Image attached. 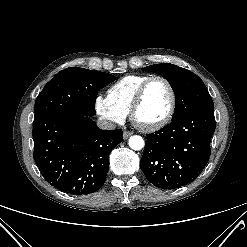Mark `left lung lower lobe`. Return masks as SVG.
<instances>
[{"label": "left lung lower lobe", "instance_id": "0a47b994", "mask_svg": "<svg viewBox=\"0 0 247 247\" xmlns=\"http://www.w3.org/2000/svg\"><path fill=\"white\" fill-rule=\"evenodd\" d=\"M214 111L188 112L147 134L141 169L153 185L176 189L194 181L210 156Z\"/></svg>", "mask_w": 247, "mask_h": 247}]
</instances>
